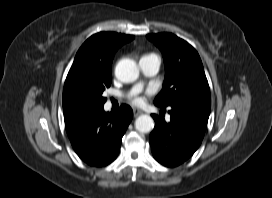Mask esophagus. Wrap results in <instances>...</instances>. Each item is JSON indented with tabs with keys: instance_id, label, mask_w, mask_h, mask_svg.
Listing matches in <instances>:
<instances>
[{
	"instance_id": "34e87169",
	"label": "esophagus",
	"mask_w": 272,
	"mask_h": 198,
	"mask_svg": "<svg viewBox=\"0 0 272 198\" xmlns=\"http://www.w3.org/2000/svg\"><path fill=\"white\" fill-rule=\"evenodd\" d=\"M133 113H134V116L137 117V116L143 114V111L140 109H137V108H133Z\"/></svg>"
}]
</instances>
